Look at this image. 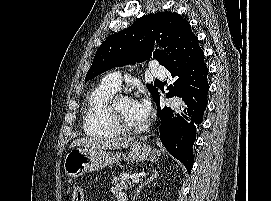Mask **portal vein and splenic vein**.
I'll return each instance as SVG.
<instances>
[{"label": "portal vein and splenic vein", "instance_id": "1", "mask_svg": "<svg viewBox=\"0 0 271 201\" xmlns=\"http://www.w3.org/2000/svg\"><path fill=\"white\" fill-rule=\"evenodd\" d=\"M139 181H140V179H139V178H136V177L132 179V182H133V183H139Z\"/></svg>", "mask_w": 271, "mask_h": 201}]
</instances>
